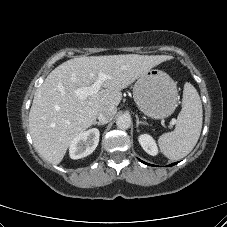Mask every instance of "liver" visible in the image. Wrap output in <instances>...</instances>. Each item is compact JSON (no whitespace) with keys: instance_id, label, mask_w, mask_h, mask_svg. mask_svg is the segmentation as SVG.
Segmentation results:
<instances>
[{"instance_id":"liver-1","label":"liver","mask_w":227,"mask_h":227,"mask_svg":"<svg viewBox=\"0 0 227 227\" xmlns=\"http://www.w3.org/2000/svg\"><path fill=\"white\" fill-rule=\"evenodd\" d=\"M166 55H105L77 57L56 67L36 90L29 130L38 153L59 164L73 139L96 121L102 107H117L121 90L160 63ZM99 73L110 76L96 94L80 99L75 90L92 85Z\"/></svg>"}]
</instances>
